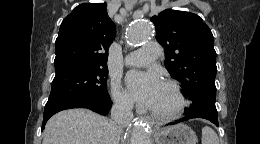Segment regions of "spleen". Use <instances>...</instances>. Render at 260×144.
I'll return each mask as SVG.
<instances>
[{
  "mask_svg": "<svg viewBox=\"0 0 260 144\" xmlns=\"http://www.w3.org/2000/svg\"><path fill=\"white\" fill-rule=\"evenodd\" d=\"M202 144H219L216 132L208 126L202 128Z\"/></svg>",
  "mask_w": 260,
  "mask_h": 144,
  "instance_id": "obj_1",
  "label": "spleen"
}]
</instances>
